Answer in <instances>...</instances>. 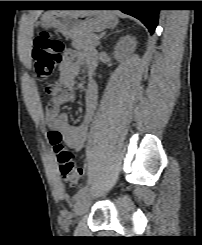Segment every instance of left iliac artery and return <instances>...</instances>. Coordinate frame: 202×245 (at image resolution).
<instances>
[{"mask_svg": "<svg viewBox=\"0 0 202 245\" xmlns=\"http://www.w3.org/2000/svg\"><path fill=\"white\" fill-rule=\"evenodd\" d=\"M88 191V186H84L81 189L78 190V192L75 194L74 199L77 200L81 195L85 194Z\"/></svg>", "mask_w": 202, "mask_h": 245, "instance_id": "obj_1", "label": "left iliac artery"}]
</instances>
